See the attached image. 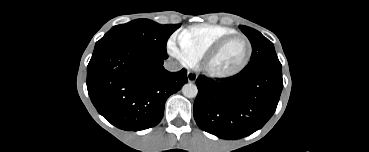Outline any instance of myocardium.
<instances>
[{"mask_svg": "<svg viewBox=\"0 0 369 152\" xmlns=\"http://www.w3.org/2000/svg\"><path fill=\"white\" fill-rule=\"evenodd\" d=\"M243 39L246 42L247 45V53L246 56L244 58V60L242 61V63L235 68L232 71L229 72H218L215 71L213 69L210 68L209 66V62L211 61V59L231 40L234 39ZM252 56V44L251 41L249 40V38L247 36H245L244 34L241 33H234V34H230L227 35L223 38H221L220 40H218L217 42H215L213 45H211L201 56V58L199 59V64L198 67L199 69L206 74L207 76L211 77V78H215V79H227V78H231L234 77L236 75H238L240 72H242L246 66L249 64L250 59Z\"/></svg>", "mask_w": 369, "mask_h": 152, "instance_id": "obj_1", "label": "myocardium"}]
</instances>
